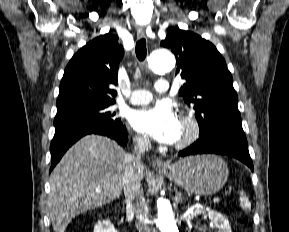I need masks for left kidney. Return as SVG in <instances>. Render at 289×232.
I'll return each instance as SVG.
<instances>
[{
  "instance_id": "obj_1",
  "label": "left kidney",
  "mask_w": 289,
  "mask_h": 232,
  "mask_svg": "<svg viewBox=\"0 0 289 232\" xmlns=\"http://www.w3.org/2000/svg\"><path fill=\"white\" fill-rule=\"evenodd\" d=\"M208 217L211 220L212 226L218 228L219 232H232L228 219L221 213L209 210Z\"/></svg>"
}]
</instances>
